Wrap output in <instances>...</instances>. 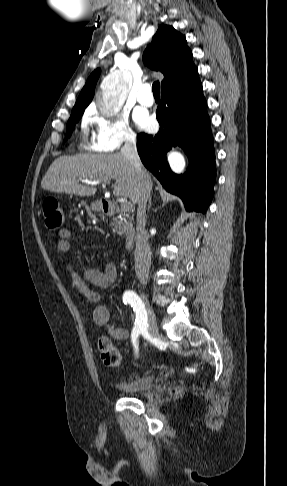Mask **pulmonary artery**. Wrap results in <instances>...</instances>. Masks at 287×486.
I'll return each mask as SVG.
<instances>
[{
    "mask_svg": "<svg viewBox=\"0 0 287 486\" xmlns=\"http://www.w3.org/2000/svg\"><path fill=\"white\" fill-rule=\"evenodd\" d=\"M137 100L141 105L152 106L154 98L151 93V86L149 84H143L137 93Z\"/></svg>",
    "mask_w": 287,
    "mask_h": 486,
    "instance_id": "pulmonary-artery-1",
    "label": "pulmonary artery"
}]
</instances>
